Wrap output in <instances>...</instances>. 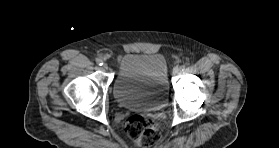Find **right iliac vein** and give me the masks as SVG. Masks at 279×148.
Instances as JSON below:
<instances>
[{
  "label": "right iliac vein",
  "mask_w": 279,
  "mask_h": 148,
  "mask_svg": "<svg viewBox=\"0 0 279 148\" xmlns=\"http://www.w3.org/2000/svg\"><path fill=\"white\" fill-rule=\"evenodd\" d=\"M102 69H103V70H108V65H107L106 63H104V64L102 65Z\"/></svg>",
  "instance_id": "1"
}]
</instances>
